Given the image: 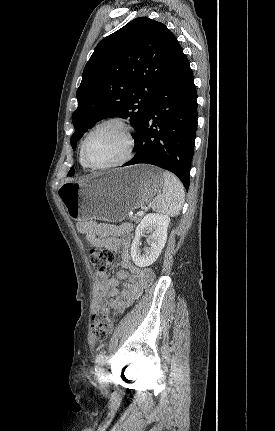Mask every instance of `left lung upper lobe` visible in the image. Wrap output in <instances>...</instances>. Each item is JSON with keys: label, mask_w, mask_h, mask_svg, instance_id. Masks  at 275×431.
I'll list each match as a JSON object with an SVG mask.
<instances>
[{"label": "left lung upper lobe", "mask_w": 275, "mask_h": 431, "mask_svg": "<svg viewBox=\"0 0 275 431\" xmlns=\"http://www.w3.org/2000/svg\"><path fill=\"white\" fill-rule=\"evenodd\" d=\"M180 49L164 24L147 17L132 20L100 41L76 93L73 150L88 128L105 118H128L138 133ZM72 175L73 167L68 173Z\"/></svg>", "instance_id": "obj_1"}]
</instances>
